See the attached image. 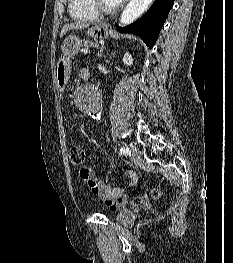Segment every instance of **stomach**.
I'll list each match as a JSON object with an SVG mask.
<instances>
[{
    "instance_id": "0dacf381",
    "label": "stomach",
    "mask_w": 233,
    "mask_h": 263,
    "mask_svg": "<svg viewBox=\"0 0 233 263\" xmlns=\"http://www.w3.org/2000/svg\"><path fill=\"white\" fill-rule=\"evenodd\" d=\"M94 39H103L108 37L109 29L105 23H99L88 29L86 33ZM82 46V41L75 35L65 38L61 46L62 56L57 62L56 81L59 90H64L71 74L70 58L74 57Z\"/></svg>"
}]
</instances>
